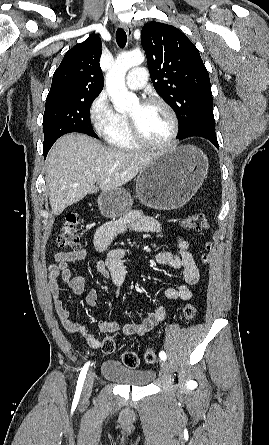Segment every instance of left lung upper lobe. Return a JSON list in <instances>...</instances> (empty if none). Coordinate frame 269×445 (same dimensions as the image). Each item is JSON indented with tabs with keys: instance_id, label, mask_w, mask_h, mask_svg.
Returning a JSON list of instances; mask_svg holds the SVG:
<instances>
[{
	"instance_id": "left-lung-upper-lobe-1",
	"label": "left lung upper lobe",
	"mask_w": 269,
	"mask_h": 445,
	"mask_svg": "<svg viewBox=\"0 0 269 445\" xmlns=\"http://www.w3.org/2000/svg\"><path fill=\"white\" fill-rule=\"evenodd\" d=\"M141 44L155 90L180 119L179 138L215 131L209 74L196 46L176 27L153 21L143 26Z\"/></svg>"
}]
</instances>
